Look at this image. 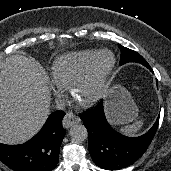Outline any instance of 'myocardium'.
<instances>
[{
	"instance_id": "obj_1",
	"label": "myocardium",
	"mask_w": 171,
	"mask_h": 171,
	"mask_svg": "<svg viewBox=\"0 0 171 171\" xmlns=\"http://www.w3.org/2000/svg\"><path fill=\"white\" fill-rule=\"evenodd\" d=\"M103 53L110 54L111 61L100 72V74L98 76L96 92L89 99H87L85 101H78L76 98V92H77L78 87L88 79V77L90 76V74L94 68V65H95L98 57ZM115 63H116V57L111 50L105 48V49L96 51L93 54V56L90 58V60L87 62L85 67L72 80V82L69 86L71 98L84 108L91 107V106L95 105L96 103H98L105 95L106 88H107V81H108V78H109L112 70L115 67Z\"/></svg>"
}]
</instances>
